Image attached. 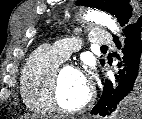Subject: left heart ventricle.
<instances>
[{
	"mask_svg": "<svg viewBox=\"0 0 142 119\" xmlns=\"http://www.w3.org/2000/svg\"><path fill=\"white\" fill-rule=\"evenodd\" d=\"M88 90L80 77L79 71L66 68L62 74L60 86V101L67 108H74L88 97Z\"/></svg>",
	"mask_w": 142,
	"mask_h": 119,
	"instance_id": "left-heart-ventricle-1",
	"label": "left heart ventricle"
}]
</instances>
